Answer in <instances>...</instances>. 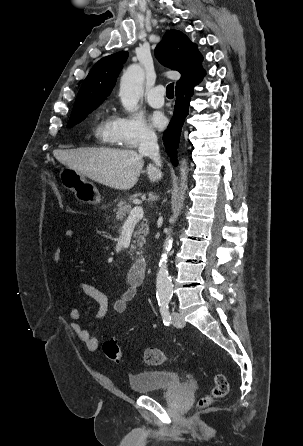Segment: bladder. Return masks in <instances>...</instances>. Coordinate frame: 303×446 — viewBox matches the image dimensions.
Instances as JSON below:
<instances>
[{
    "mask_svg": "<svg viewBox=\"0 0 303 446\" xmlns=\"http://www.w3.org/2000/svg\"><path fill=\"white\" fill-rule=\"evenodd\" d=\"M183 385L181 376L167 370H145L129 376V386L136 394L166 391Z\"/></svg>",
    "mask_w": 303,
    "mask_h": 446,
    "instance_id": "1",
    "label": "bladder"
}]
</instances>
